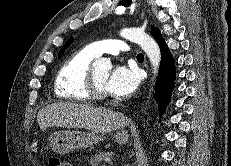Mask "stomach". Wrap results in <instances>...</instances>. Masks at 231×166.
Masks as SVG:
<instances>
[{
	"label": "stomach",
	"instance_id": "1",
	"mask_svg": "<svg viewBox=\"0 0 231 166\" xmlns=\"http://www.w3.org/2000/svg\"><path fill=\"white\" fill-rule=\"evenodd\" d=\"M114 138L118 144L124 145L128 142L129 136L126 131H119ZM104 139V135L94 132L56 131L50 135L49 145L55 153L63 155L75 149L89 148Z\"/></svg>",
	"mask_w": 231,
	"mask_h": 166
}]
</instances>
